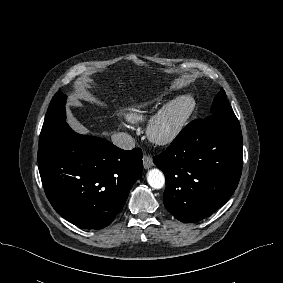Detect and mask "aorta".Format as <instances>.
Wrapping results in <instances>:
<instances>
[{
  "label": "aorta",
  "instance_id": "1",
  "mask_svg": "<svg viewBox=\"0 0 283 283\" xmlns=\"http://www.w3.org/2000/svg\"><path fill=\"white\" fill-rule=\"evenodd\" d=\"M147 181L154 189H161L165 184V177L159 169H151L147 174Z\"/></svg>",
  "mask_w": 283,
  "mask_h": 283
}]
</instances>
